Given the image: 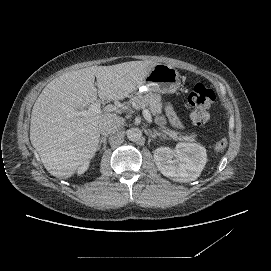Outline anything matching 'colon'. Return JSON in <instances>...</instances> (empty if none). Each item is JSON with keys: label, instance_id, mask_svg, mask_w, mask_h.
Returning <instances> with one entry per match:
<instances>
[{"label": "colon", "instance_id": "5ec220e1", "mask_svg": "<svg viewBox=\"0 0 271 271\" xmlns=\"http://www.w3.org/2000/svg\"><path fill=\"white\" fill-rule=\"evenodd\" d=\"M216 99L214 91L202 83L196 84L188 97L192 108L191 120L194 125L204 127L210 120L209 110ZM227 147V140L222 138L215 144V149L222 152Z\"/></svg>", "mask_w": 271, "mask_h": 271}]
</instances>
